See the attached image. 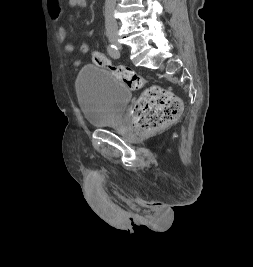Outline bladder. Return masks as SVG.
Instances as JSON below:
<instances>
[{"instance_id":"obj_1","label":"bladder","mask_w":253,"mask_h":267,"mask_svg":"<svg viewBox=\"0 0 253 267\" xmlns=\"http://www.w3.org/2000/svg\"><path fill=\"white\" fill-rule=\"evenodd\" d=\"M76 89L83 117L93 127H106L119 118L131 100V88L109 71L84 67Z\"/></svg>"}]
</instances>
